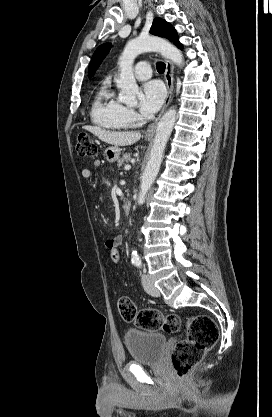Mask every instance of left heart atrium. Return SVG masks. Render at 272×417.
<instances>
[{
  "label": "left heart atrium",
  "instance_id": "obj_1",
  "mask_svg": "<svg viewBox=\"0 0 272 417\" xmlns=\"http://www.w3.org/2000/svg\"><path fill=\"white\" fill-rule=\"evenodd\" d=\"M165 98L164 86L156 80L145 83L141 90L140 110L145 115L155 113Z\"/></svg>",
  "mask_w": 272,
  "mask_h": 417
}]
</instances>
